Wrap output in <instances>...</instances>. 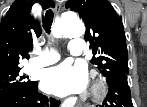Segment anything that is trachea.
Wrapping results in <instances>:
<instances>
[{
    "label": "trachea",
    "mask_w": 147,
    "mask_h": 107,
    "mask_svg": "<svg viewBox=\"0 0 147 107\" xmlns=\"http://www.w3.org/2000/svg\"><path fill=\"white\" fill-rule=\"evenodd\" d=\"M53 17L54 13L51 9L47 10L45 13V17L43 18V28L46 31V33H51V26L53 23Z\"/></svg>",
    "instance_id": "trachea-1"
}]
</instances>
